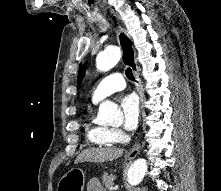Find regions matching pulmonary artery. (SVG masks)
<instances>
[{"mask_svg":"<svg viewBox=\"0 0 221 191\" xmlns=\"http://www.w3.org/2000/svg\"><path fill=\"white\" fill-rule=\"evenodd\" d=\"M126 87L125 79L120 73H114L101 80L92 94L93 103L103 100L110 94L123 90Z\"/></svg>","mask_w":221,"mask_h":191,"instance_id":"obj_1","label":"pulmonary artery"}]
</instances>
